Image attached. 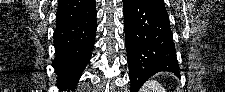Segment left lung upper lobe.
I'll list each match as a JSON object with an SVG mask.
<instances>
[{
  "mask_svg": "<svg viewBox=\"0 0 225 92\" xmlns=\"http://www.w3.org/2000/svg\"><path fill=\"white\" fill-rule=\"evenodd\" d=\"M143 1L165 7L164 0H143Z\"/></svg>",
  "mask_w": 225,
  "mask_h": 92,
  "instance_id": "left-lung-upper-lobe-1",
  "label": "left lung upper lobe"
}]
</instances>
